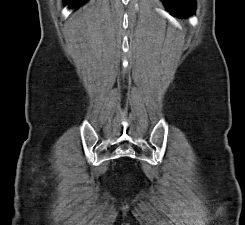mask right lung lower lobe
<instances>
[{"label":"right lung lower lobe","mask_w":245,"mask_h":225,"mask_svg":"<svg viewBox=\"0 0 245 225\" xmlns=\"http://www.w3.org/2000/svg\"><path fill=\"white\" fill-rule=\"evenodd\" d=\"M67 2L73 4L74 6H78L79 4L83 3L84 0H67Z\"/></svg>","instance_id":"1"}]
</instances>
